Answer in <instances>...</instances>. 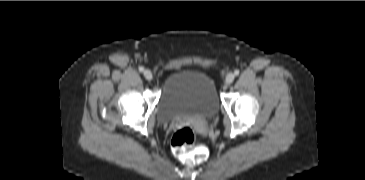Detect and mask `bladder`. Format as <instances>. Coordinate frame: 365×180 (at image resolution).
Wrapping results in <instances>:
<instances>
[{
    "label": "bladder",
    "mask_w": 365,
    "mask_h": 180,
    "mask_svg": "<svg viewBox=\"0 0 365 180\" xmlns=\"http://www.w3.org/2000/svg\"><path fill=\"white\" fill-rule=\"evenodd\" d=\"M220 107L214 80L196 69H179L165 81L157 106V117L162 122L184 118H208Z\"/></svg>",
    "instance_id": "31cf9c89"
}]
</instances>
